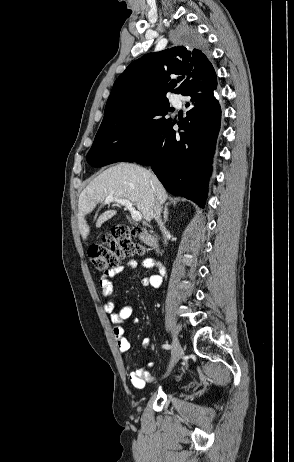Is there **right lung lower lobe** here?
<instances>
[{
	"instance_id": "1",
	"label": "right lung lower lobe",
	"mask_w": 294,
	"mask_h": 462,
	"mask_svg": "<svg viewBox=\"0 0 294 462\" xmlns=\"http://www.w3.org/2000/svg\"><path fill=\"white\" fill-rule=\"evenodd\" d=\"M216 89L215 75L182 93L191 96V102L186 104L189 107L187 117L178 123L181 131L175 132L172 129L175 122L168 119L156 133L123 159L124 162L150 165L169 192L184 196L200 207L204 206L207 196L220 128L221 110ZM89 164L98 165L96 161Z\"/></svg>"
}]
</instances>
